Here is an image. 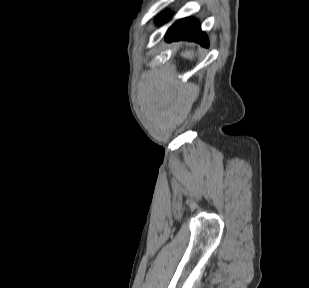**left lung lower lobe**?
Here are the masks:
<instances>
[{
	"label": "left lung lower lobe",
	"mask_w": 309,
	"mask_h": 288,
	"mask_svg": "<svg viewBox=\"0 0 309 288\" xmlns=\"http://www.w3.org/2000/svg\"><path fill=\"white\" fill-rule=\"evenodd\" d=\"M170 13H163L157 18V22L163 23L168 21ZM180 39H187L200 43L208 47L206 35L201 31L200 25L193 18H185L175 22L166 33V41L171 42Z\"/></svg>",
	"instance_id": "left-lung-lower-lobe-1"
}]
</instances>
